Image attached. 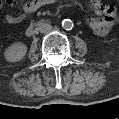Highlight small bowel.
<instances>
[{"label":"small bowel","instance_id":"c3829d8e","mask_svg":"<svg viewBox=\"0 0 119 119\" xmlns=\"http://www.w3.org/2000/svg\"><path fill=\"white\" fill-rule=\"evenodd\" d=\"M53 0H31L23 6V13L14 16L6 15L4 20L9 25L19 24L23 22L29 15L35 13L40 8L52 4ZM17 3L16 0H6L5 4L8 7H12ZM90 5L98 18H90L87 21L89 28L98 36L106 35L115 22V9L112 6L105 5L101 1L92 0Z\"/></svg>","mask_w":119,"mask_h":119}]
</instances>
